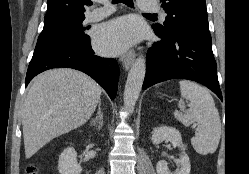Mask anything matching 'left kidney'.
I'll return each mask as SVG.
<instances>
[{
	"label": "left kidney",
	"instance_id": "left-kidney-1",
	"mask_svg": "<svg viewBox=\"0 0 249 174\" xmlns=\"http://www.w3.org/2000/svg\"><path fill=\"white\" fill-rule=\"evenodd\" d=\"M164 140L170 141L174 147L178 146L184 149L181 133L177 129L168 126L154 128L151 136L152 143L159 144ZM177 162L180 164V169L175 174H190L191 165L187 154L183 153ZM156 170L157 174H172L165 160H160L157 163Z\"/></svg>",
	"mask_w": 249,
	"mask_h": 174
}]
</instances>
